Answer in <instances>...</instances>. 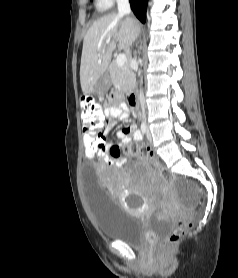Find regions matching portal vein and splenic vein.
Listing matches in <instances>:
<instances>
[{
	"label": "portal vein and splenic vein",
	"mask_w": 238,
	"mask_h": 278,
	"mask_svg": "<svg viewBox=\"0 0 238 278\" xmlns=\"http://www.w3.org/2000/svg\"><path fill=\"white\" fill-rule=\"evenodd\" d=\"M106 43H109V41H107ZM127 62V57L125 54H119L116 58V63L118 66H124Z\"/></svg>",
	"instance_id": "portal-vein-and-splenic-vein-1"
}]
</instances>
